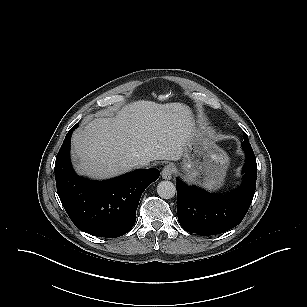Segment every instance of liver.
Here are the masks:
<instances>
[{
    "instance_id": "obj_1",
    "label": "liver",
    "mask_w": 307,
    "mask_h": 307,
    "mask_svg": "<svg viewBox=\"0 0 307 307\" xmlns=\"http://www.w3.org/2000/svg\"><path fill=\"white\" fill-rule=\"evenodd\" d=\"M193 125L192 112L182 103H130L73 134L76 170L106 179L130 171L138 160L177 161L192 140Z\"/></svg>"
}]
</instances>
